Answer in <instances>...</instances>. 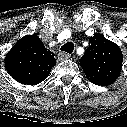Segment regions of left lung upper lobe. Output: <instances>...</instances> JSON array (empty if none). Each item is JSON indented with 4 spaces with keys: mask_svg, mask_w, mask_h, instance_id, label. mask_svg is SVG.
<instances>
[{
    "mask_svg": "<svg viewBox=\"0 0 127 127\" xmlns=\"http://www.w3.org/2000/svg\"><path fill=\"white\" fill-rule=\"evenodd\" d=\"M122 62L123 55L118 45L96 34L90 37L89 47L81 57L80 65L90 82L106 86L118 78Z\"/></svg>",
    "mask_w": 127,
    "mask_h": 127,
    "instance_id": "5c2ea615",
    "label": "left lung upper lobe"
}]
</instances>
